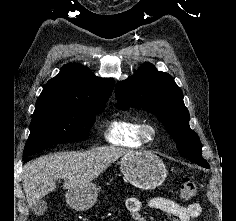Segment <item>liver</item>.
I'll list each match as a JSON object with an SVG mask.
<instances>
[{
	"label": "liver",
	"mask_w": 236,
	"mask_h": 221,
	"mask_svg": "<svg viewBox=\"0 0 236 221\" xmlns=\"http://www.w3.org/2000/svg\"><path fill=\"white\" fill-rule=\"evenodd\" d=\"M130 151L115 146L96 147L79 152H59L35 159L23 170V189L28 206L56 188V180L64 179L67 190L91 183L114 161Z\"/></svg>",
	"instance_id": "obj_1"
}]
</instances>
